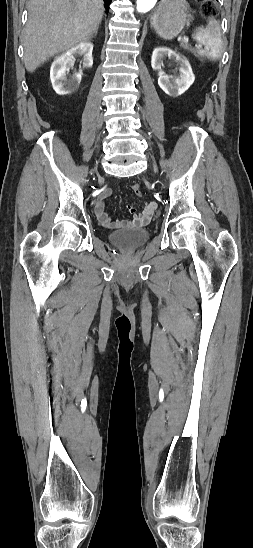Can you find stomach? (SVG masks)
Here are the masks:
<instances>
[{"instance_id": "obj_1", "label": "stomach", "mask_w": 253, "mask_h": 548, "mask_svg": "<svg viewBox=\"0 0 253 548\" xmlns=\"http://www.w3.org/2000/svg\"><path fill=\"white\" fill-rule=\"evenodd\" d=\"M190 12L186 0H162L151 17V26L160 37L172 39L191 21Z\"/></svg>"}]
</instances>
